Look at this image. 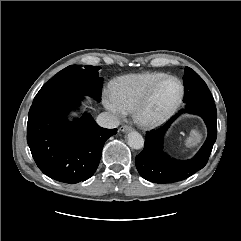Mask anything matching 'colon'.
<instances>
[{
	"mask_svg": "<svg viewBox=\"0 0 241 241\" xmlns=\"http://www.w3.org/2000/svg\"><path fill=\"white\" fill-rule=\"evenodd\" d=\"M201 140V133L199 130H194L191 134H190V137H189V144L190 145H196L200 142Z\"/></svg>",
	"mask_w": 241,
	"mask_h": 241,
	"instance_id": "colon-1",
	"label": "colon"
}]
</instances>
